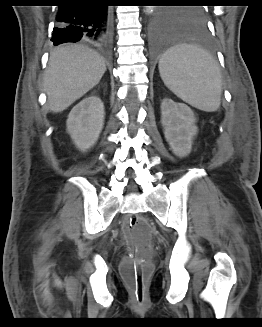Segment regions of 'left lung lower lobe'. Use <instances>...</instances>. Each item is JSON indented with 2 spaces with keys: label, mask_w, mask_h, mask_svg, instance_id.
<instances>
[{
  "label": "left lung lower lobe",
  "mask_w": 262,
  "mask_h": 327,
  "mask_svg": "<svg viewBox=\"0 0 262 327\" xmlns=\"http://www.w3.org/2000/svg\"><path fill=\"white\" fill-rule=\"evenodd\" d=\"M186 40L194 42L201 47L208 48L210 37L205 24L199 26L178 24L169 18L165 10L158 15L150 27L149 46L151 52L154 54L169 50L176 44Z\"/></svg>",
  "instance_id": "1"
}]
</instances>
